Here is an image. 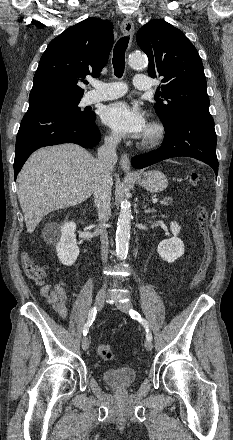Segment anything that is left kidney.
Wrapping results in <instances>:
<instances>
[{
	"label": "left kidney",
	"mask_w": 233,
	"mask_h": 440,
	"mask_svg": "<svg viewBox=\"0 0 233 440\" xmlns=\"http://www.w3.org/2000/svg\"><path fill=\"white\" fill-rule=\"evenodd\" d=\"M170 229L174 235L173 238L165 239L158 244L159 256L168 263H173L184 254V243L177 235L181 227L176 222L170 223Z\"/></svg>",
	"instance_id": "5707ae66"
}]
</instances>
